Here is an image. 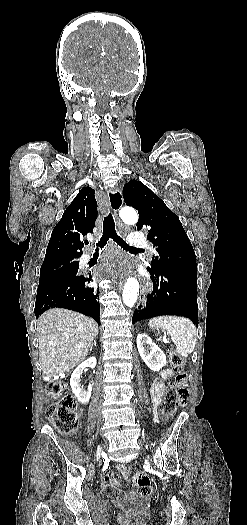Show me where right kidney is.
<instances>
[{
    "label": "right kidney",
    "mask_w": 247,
    "mask_h": 525,
    "mask_svg": "<svg viewBox=\"0 0 247 525\" xmlns=\"http://www.w3.org/2000/svg\"><path fill=\"white\" fill-rule=\"evenodd\" d=\"M96 365L97 361L95 357H89L87 361H84V363L78 365L71 375L70 387L72 389V393H74L77 401H79L81 405H87V403H89L92 391V385H88V389H83L82 385H80L81 375H83V371L86 369V367L95 369Z\"/></svg>",
    "instance_id": "obj_1"
}]
</instances>
